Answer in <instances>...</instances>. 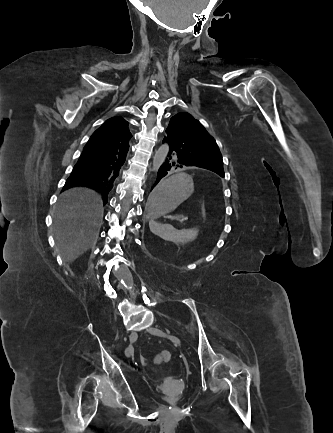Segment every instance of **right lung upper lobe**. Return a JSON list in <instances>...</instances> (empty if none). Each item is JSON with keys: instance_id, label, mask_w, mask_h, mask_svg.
<instances>
[{"instance_id": "cb5924a9", "label": "right lung upper lobe", "mask_w": 333, "mask_h": 433, "mask_svg": "<svg viewBox=\"0 0 333 433\" xmlns=\"http://www.w3.org/2000/svg\"><path fill=\"white\" fill-rule=\"evenodd\" d=\"M132 134L128 129V122L122 117H113L106 120L91 136L96 139L100 149L120 148L129 145Z\"/></svg>"}]
</instances>
